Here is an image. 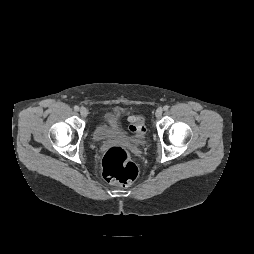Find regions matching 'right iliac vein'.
Returning a JSON list of instances; mask_svg holds the SVG:
<instances>
[{
    "instance_id": "63e3f726",
    "label": "right iliac vein",
    "mask_w": 254,
    "mask_h": 254,
    "mask_svg": "<svg viewBox=\"0 0 254 254\" xmlns=\"http://www.w3.org/2000/svg\"><path fill=\"white\" fill-rule=\"evenodd\" d=\"M80 114H81L82 117H86L87 114H88L87 109L85 107H81L80 108Z\"/></svg>"
}]
</instances>
